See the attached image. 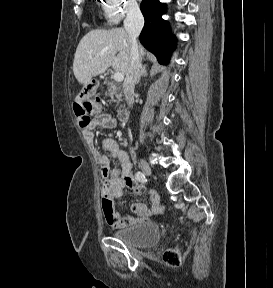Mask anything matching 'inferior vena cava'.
Wrapping results in <instances>:
<instances>
[{
  "instance_id": "602c4592",
  "label": "inferior vena cava",
  "mask_w": 273,
  "mask_h": 288,
  "mask_svg": "<svg viewBox=\"0 0 273 288\" xmlns=\"http://www.w3.org/2000/svg\"><path fill=\"white\" fill-rule=\"evenodd\" d=\"M143 25L144 17L138 5L129 6L124 20V28L130 38L131 53L129 67L123 83L124 94L129 107L134 103V88L141 67L137 38Z\"/></svg>"
}]
</instances>
